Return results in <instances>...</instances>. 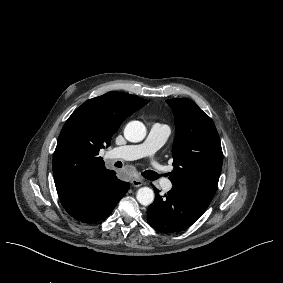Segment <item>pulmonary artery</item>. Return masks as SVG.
I'll list each match as a JSON object with an SVG mask.
<instances>
[{
    "label": "pulmonary artery",
    "instance_id": "obj_1",
    "mask_svg": "<svg viewBox=\"0 0 283 283\" xmlns=\"http://www.w3.org/2000/svg\"><path fill=\"white\" fill-rule=\"evenodd\" d=\"M170 130L167 126L154 124L150 127L145 141L139 145H126L113 148L111 152L117 153L118 157L128 160H139L141 157L152 155L168 139ZM172 182L168 177H161L158 180V187L161 190H171Z\"/></svg>",
    "mask_w": 283,
    "mask_h": 283
}]
</instances>
